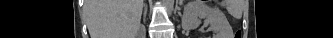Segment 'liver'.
I'll return each instance as SVG.
<instances>
[{"label": "liver", "instance_id": "6515ba94", "mask_svg": "<svg viewBox=\"0 0 333 38\" xmlns=\"http://www.w3.org/2000/svg\"><path fill=\"white\" fill-rule=\"evenodd\" d=\"M143 0H86L91 38H136Z\"/></svg>", "mask_w": 333, "mask_h": 38}]
</instances>
